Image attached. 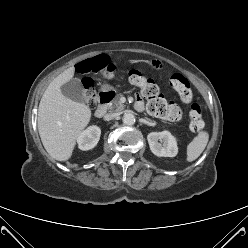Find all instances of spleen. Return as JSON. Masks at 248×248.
<instances>
[{"label":"spleen","instance_id":"1","mask_svg":"<svg viewBox=\"0 0 248 248\" xmlns=\"http://www.w3.org/2000/svg\"><path fill=\"white\" fill-rule=\"evenodd\" d=\"M209 140V134L206 131H200L197 136L187 146V158L188 162L196 160L206 148Z\"/></svg>","mask_w":248,"mask_h":248}]
</instances>
